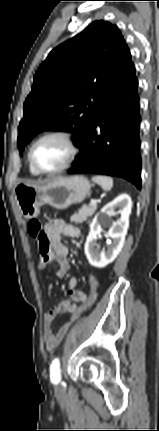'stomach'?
I'll list each match as a JSON object with an SVG mask.
<instances>
[{"label": "stomach", "instance_id": "stomach-1", "mask_svg": "<svg viewBox=\"0 0 159 431\" xmlns=\"http://www.w3.org/2000/svg\"><path fill=\"white\" fill-rule=\"evenodd\" d=\"M91 183L83 176L57 177L45 185L20 182L15 186V199L25 218L39 215L40 207L48 204L62 210L84 201Z\"/></svg>", "mask_w": 159, "mask_h": 431}]
</instances>
